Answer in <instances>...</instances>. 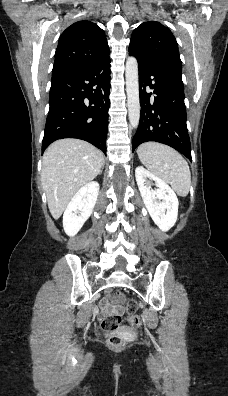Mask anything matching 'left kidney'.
<instances>
[{
  "mask_svg": "<svg viewBox=\"0 0 228 396\" xmlns=\"http://www.w3.org/2000/svg\"><path fill=\"white\" fill-rule=\"evenodd\" d=\"M135 177L143 202L154 223L162 231H168L174 226L178 216L179 202L175 192L143 166L135 169ZM148 179L155 182L156 189L151 188Z\"/></svg>",
  "mask_w": 228,
  "mask_h": 396,
  "instance_id": "5707ae66",
  "label": "left kidney"
}]
</instances>
